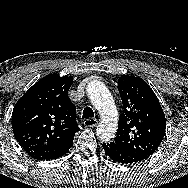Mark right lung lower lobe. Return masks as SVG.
<instances>
[{
	"label": "right lung lower lobe",
	"mask_w": 188,
	"mask_h": 188,
	"mask_svg": "<svg viewBox=\"0 0 188 188\" xmlns=\"http://www.w3.org/2000/svg\"><path fill=\"white\" fill-rule=\"evenodd\" d=\"M72 146H69L67 148L52 152V153H48L45 154L43 156H41L38 160H50V159H56L61 157L62 155H64Z\"/></svg>",
	"instance_id": "right-lung-lower-lobe-1"
}]
</instances>
